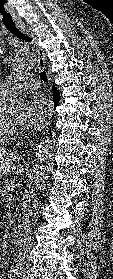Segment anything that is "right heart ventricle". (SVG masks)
<instances>
[{"label": "right heart ventricle", "mask_w": 113, "mask_h": 279, "mask_svg": "<svg viewBox=\"0 0 113 279\" xmlns=\"http://www.w3.org/2000/svg\"><path fill=\"white\" fill-rule=\"evenodd\" d=\"M9 98V96L0 91V147L6 145L11 139V134L5 132L1 127V115L6 108Z\"/></svg>", "instance_id": "right-heart-ventricle-1"}]
</instances>
